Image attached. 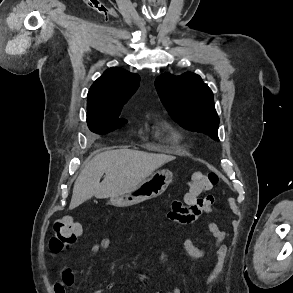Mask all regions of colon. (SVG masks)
<instances>
[{
    "instance_id": "obj_1",
    "label": "colon",
    "mask_w": 293,
    "mask_h": 293,
    "mask_svg": "<svg viewBox=\"0 0 293 293\" xmlns=\"http://www.w3.org/2000/svg\"><path fill=\"white\" fill-rule=\"evenodd\" d=\"M218 175L214 172H195L188 182V192L185 197L187 205L200 201L199 197L211 190L218 183ZM82 226L69 217L57 219L53 224L54 234L49 241V250L58 254L66 250L80 236Z\"/></svg>"
}]
</instances>
